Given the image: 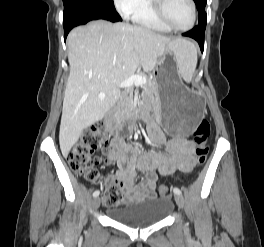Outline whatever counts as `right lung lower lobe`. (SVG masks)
Segmentation results:
<instances>
[{"instance_id": "right-lung-lower-lobe-1", "label": "right lung lower lobe", "mask_w": 264, "mask_h": 247, "mask_svg": "<svg viewBox=\"0 0 264 247\" xmlns=\"http://www.w3.org/2000/svg\"><path fill=\"white\" fill-rule=\"evenodd\" d=\"M104 19L111 22L121 21V17L114 9L98 8L94 6L69 3L64 5L63 26L64 39L69 31L78 25L86 24L91 20Z\"/></svg>"}]
</instances>
